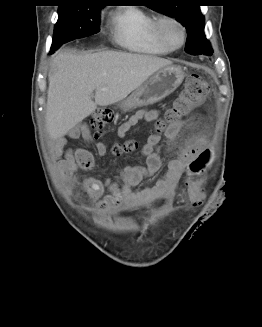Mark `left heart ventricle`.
<instances>
[{"label":"left heart ventricle","mask_w":262,"mask_h":327,"mask_svg":"<svg viewBox=\"0 0 262 327\" xmlns=\"http://www.w3.org/2000/svg\"><path fill=\"white\" fill-rule=\"evenodd\" d=\"M165 34L171 43L178 44L180 42V30L175 25L167 24L165 26Z\"/></svg>","instance_id":"1"}]
</instances>
